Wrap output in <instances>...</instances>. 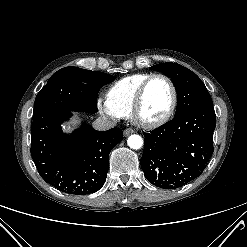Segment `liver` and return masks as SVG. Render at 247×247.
<instances>
[{
	"mask_svg": "<svg viewBox=\"0 0 247 247\" xmlns=\"http://www.w3.org/2000/svg\"><path fill=\"white\" fill-rule=\"evenodd\" d=\"M77 119H78V116L75 114L74 118L69 123L63 125V130L65 132L70 133L74 129V126L77 124Z\"/></svg>",
	"mask_w": 247,
	"mask_h": 247,
	"instance_id": "obj_1",
	"label": "liver"
}]
</instances>
